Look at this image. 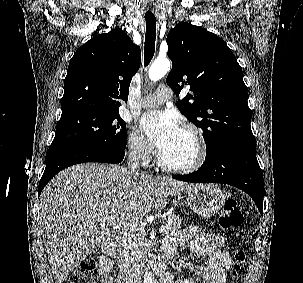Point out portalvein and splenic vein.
I'll list each match as a JSON object with an SVG mask.
<instances>
[{"instance_id":"obj_1","label":"portal vein and splenic vein","mask_w":303,"mask_h":283,"mask_svg":"<svg viewBox=\"0 0 303 283\" xmlns=\"http://www.w3.org/2000/svg\"><path fill=\"white\" fill-rule=\"evenodd\" d=\"M106 222L112 224L113 226H118V225H121V224H122V225H130L128 222L120 221L118 218L112 217V216H110V217H108V218H104V219L102 220V224H103V225H105ZM169 222H170V221H169ZM133 227H136V226H132V228H133ZM166 229H167L166 226H161L160 229H159V231H160L161 233H164V232H166Z\"/></svg>"}]
</instances>
